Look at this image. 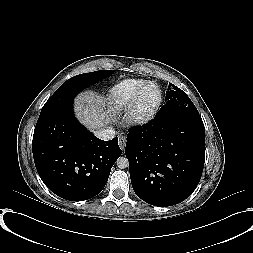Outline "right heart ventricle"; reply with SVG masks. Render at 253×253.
<instances>
[{
  "label": "right heart ventricle",
  "mask_w": 253,
  "mask_h": 253,
  "mask_svg": "<svg viewBox=\"0 0 253 253\" xmlns=\"http://www.w3.org/2000/svg\"><path fill=\"white\" fill-rule=\"evenodd\" d=\"M147 82L144 79L129 78L117 82L110 90L108 102L114 111L129 108L139 88Z\"/></svg>",
  "instance_id": "1"
}]
</instances>
